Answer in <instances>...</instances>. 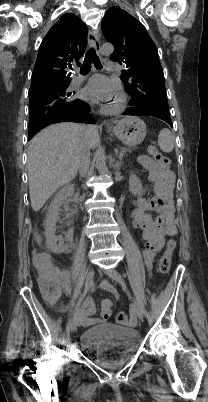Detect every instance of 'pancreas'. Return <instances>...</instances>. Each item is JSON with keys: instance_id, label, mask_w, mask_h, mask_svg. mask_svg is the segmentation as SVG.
<instances>
[{"instance_id": "cf45deb5", "label": "pancreas", "mask_w": 208, "mask_h": 402, "mask_svg": "<svg viewBox=\"0 0 208 402\" xmlns=\"http://www.w3.org/2000/svg\"><path fill=\"white\" fill-rule=\"evenodd\" d=\"M126 152H131L130 148H121V154H126Z\"/></svg>"}]
</instances>
